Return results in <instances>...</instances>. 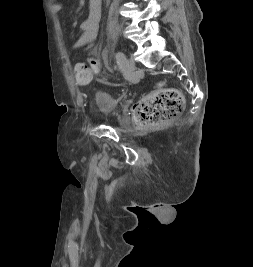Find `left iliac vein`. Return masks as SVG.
I'll return each mask as SVG.
<instances>
[{"instance_id": "left-iliac-vein-1", "label": "left iliac vein", "mask_w": 253, "mask_h": 267, "mask_svg": "<svg viewBox=\"0 0 253 267\" xmlns=\"http://www.w3.org/2000/svg\"><path fill=\"white\" fill-rule=\"evenodd\" d=\"M117 55L118 56H122V55H124L122 52H120V51H118L117 52ZM125 77H132L131 75H129V74H133V75H135V63H134V61H133V59H130V60H127L126 59V66H125Z\"/></svg>"}]
</instances>
